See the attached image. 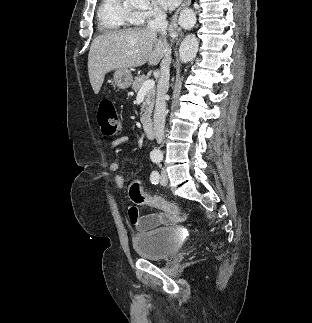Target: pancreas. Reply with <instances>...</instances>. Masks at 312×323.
Listing matches in <instances>:
<instances>
[{"mask_svg":"<svg viewBox=\"0 0 312 323\" xmlns=\"http://www.w3.org/2000/svg\"><path fill=\"white\" fill-rule=\"evenodd\" d=\"M148 76H138L135 78L132 88L134 92H139L141 86H143L144 82H147ZM155 104V88H151L148 90L144 96V102L141 106V122H150V118L152 116V110Z\"/></svg>","mask_w":312,"mask_h":323,"instance_id":"obj_1","label":"pancreas"}]
</instances>
